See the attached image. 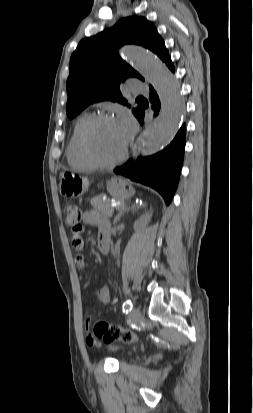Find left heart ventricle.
<instances>
[{
	"label": "left heart ventricle",
	"instance_id": "left-heart-ventricle-1",
	"mask_svg": "<svg viewBox=\"0 0 253 413\" xmlns=\"http://www.w3.org/2000/svg\"><path fill=\"white\" fill-rule=\"evenodd\" d=\"M88 141L92 153L106 161L117 158L126 145L117 122L98 123L90 131Z\"/></svg>",
	"mask_w": 253,
	"mask_h": 413
}]
</instances>
